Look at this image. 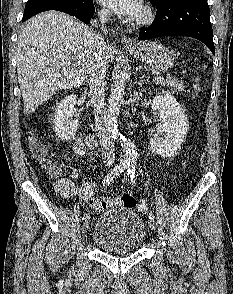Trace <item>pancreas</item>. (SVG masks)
<instances>
[{
	"label": "pancreas",
	"instance_id": "1",
	"mask_svg": "<svg viewBox=\"0 0 233 294\" xmlns=\"http://www.w3.org/2000/svg\"><path fill=\"white\" fill-rule=\"evenodd\" d=\"M160 84L166 88H171L173 91H183L184 85L178 79L167 78L166 80L160 82Z\"/></svg>",
	"mask_w": 233,
	"mask_h": 294
}]
</instances>
